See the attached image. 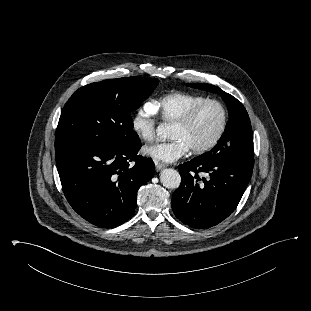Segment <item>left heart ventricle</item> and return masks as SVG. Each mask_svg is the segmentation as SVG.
Segmentation results:
<instances>
[{"label":"left heart ventricle","instance_id":"1","mask_svg":"<svg viewBox=\"0 0 311 311\" xmlns=\"http://www.w3.org/2000/svg\"><path fill=\"white\" fill-rule=\"evenodd\" d=\"M221 122L220 109L214 104L205 105L186 127L173 125L172 139H182L189 147L206 144L217 132Z\"/></svg>","mask_w":311,"mask_h":311}]
</instances>
